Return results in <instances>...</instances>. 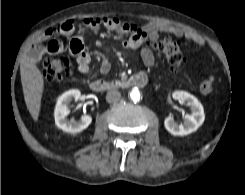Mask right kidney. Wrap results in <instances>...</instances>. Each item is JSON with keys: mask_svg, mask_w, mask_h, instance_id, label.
<instances>
[{"mask_svg": "<svg viewBox=\"0 0 245 195\" xmlns=\"http://www.w3.org/2000/svg\"><path fill=\"white\" fill-rule=\"evenodd\" d=\"M80 97L81 92L77 89H72L63 93L57 100L54 111L55 123L65 132H81L92 122V117L90 115L82 116L79 121L67 119L69 114L68 104L73 100L77 101Z\"/></svg>", "mask_w": 245, "mask_h": 195, "instance_id": "right-kidney-1", "label": "right kidney"}]
</instances>
